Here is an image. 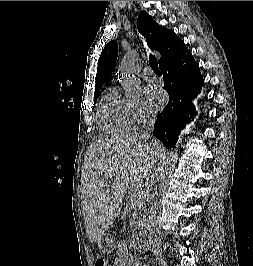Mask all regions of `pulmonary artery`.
<instances>
[{
  "instance_id": "1",
  "label": "pulmonary artery",
  "mask_w": 253,
  "mask_h": 266,
  "mask_svg": "<svg viewBox=\"0 0 253 266\" xmlns=\"http://www.w3.org/2000/svg\"><path fill=\"white\" fill-rule=\"evenodd\" d=\"M142 76L147 81H155L156 80L155 73L150 67H145L142 70Z\"/></svg>"
}]
</instances>
